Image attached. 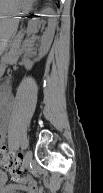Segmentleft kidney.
<instances>
[{
    "mask_svg": "<svg viewBox=\"0 0 103 193\" xmlns=\"http://www.w3.org/2000/svg\"><path fill=\"white\" fill-rule=\"evenodd\" d=\"M52 14H53V11L51 8H45L41 11L40 14H36L38 16H48L49 17V20H48V28L45 30L42 38H41V46L39 48V55H38V58L35 59V61H39L42 57H44L47 52L49 51V48L51 46V43L53 41V37H54V25H53V19H52ZM39 18H34L33 21L31 22L30 24V28L32 30H35L37 28V25L39 24ZM27 62L25 64V68L27 70H30L34 64V62Z\"/></svg>",
    "mask_w": 103,
    "mask_h": 193,
    "instance_id": "1",
    "label": "left kidney"
}]
</instances>
